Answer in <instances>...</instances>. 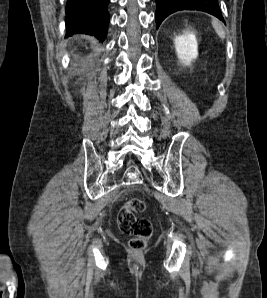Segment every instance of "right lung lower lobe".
I'll list each match as a JSON object with an SVG mask.
<instances>
[{
	"label": "right lung lower lobe",
	"instance_id": "obj_1",
	"mask_svg": "<svg viewBox=\"0 0 267 298\" xmlns=\"http://www.w3.org/2000/svg\"><path fill=\"white\" fill-rule=\"evenodd\" d=\"M110 0H67L66 36L75 33L93 35L103 41L109 24L107 4Z\"/></svg>",
	"mask_w": 267,
	"mask_h": 298
}]
</instances>
